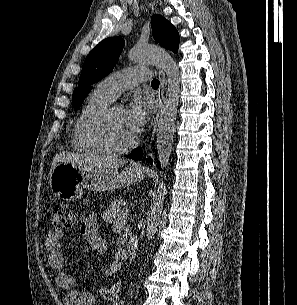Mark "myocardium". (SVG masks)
<instances>
[{"label":"myocardium","mask_w":297,"mask_h":305,"mask_svg":"<svg viewBox=\"0 0 297 305\" xmlns=\"http://www.w3.org/2000/svg\"><path fill=\"white\" fill-rule=\"evenodd\" d=\"M117 107L108 105L95 114H93L85 124V134L87 138L96 146L98 147L101 152H104L109 155H121L129 150H131L137 143V139L133 138L129 143L122 147H112L110 146L103 136V124L106 119L110 116V114L116 109Z\"/></svg>","instance_id":"1"}]
</instances>
